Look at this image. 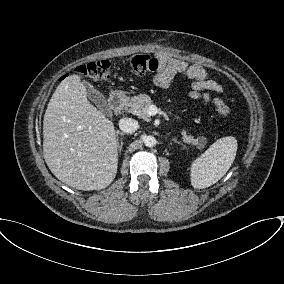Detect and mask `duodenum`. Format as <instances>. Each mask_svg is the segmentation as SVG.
Instances as JSON below:
<instances>
[{"instance_id": "duodenum-1", "label": "duodenum", "mask_w": 284, "mask_h": 284, "mask_svg": "<svg viewBox=\"0 0 284 284\" xmlns=\"http://www.w3.org/2000/svg\"><path fill=\"white\" fill-rule=\"evenodd\" d=\"M126 103V95L121 91H113L109 98L110 108L119 113L123 110Z\"/></svg>"}]
</instances>
